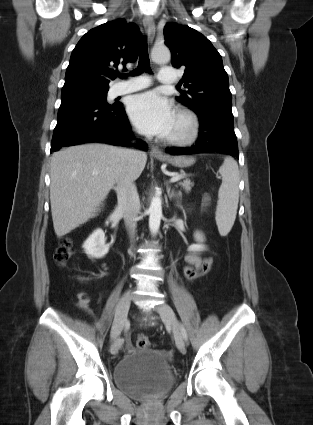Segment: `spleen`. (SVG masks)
I'll use <instances>...</instances> for the list:
<instances>
[{
    "label": "spleen",
    "mask_w": 313,
    "mask_h": 425,
    "mask_svg": "<svg viewBox=\"0 0 313 425\" xmlns=\"http://www.w3.org/2000/svg\"><path fill=\"white\" fill-rule=\"evenodd\" d=\"M219 173L222 184L218 192L215 219L220 235L226 236L236 219L239 202L240 176L237 162L232 157H225Z\"/></svg>",
    "instance_id": "3e777b00"
}]
</instances>
